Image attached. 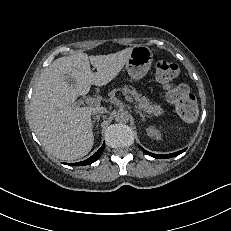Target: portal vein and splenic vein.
Wrapping results in <instances>:
<instances>
[{"label":"portal vein and splenic vein","mask_w":231,"mask_h":231,"mask_svg":"<svg viewBox=\"0 0 231 231\" xmlns=\"http://www.w3.org/2000/svg\"><path fill=\"white\" fill-rule=\"evenodd\" d=\"M125 98L128 102L133 103V99L130 96L125 95ZM85 102L89 105H99L100 104V100L98 98H92V97L87 98Z\"/></svg>","instance_id":"portal-vein-and-splenic-vein-1"}]
</instances>
